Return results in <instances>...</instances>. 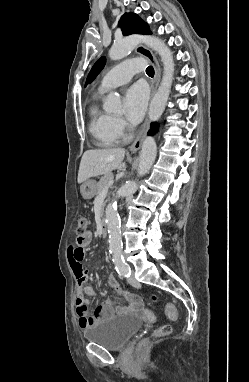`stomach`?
<instances>
[{"label": "stomach", "instance_id": "1", "mask_svg": "<svg viewBox=\"0 0 249 382\" xmlns=\"http://www.w3.org/2000/svg\"><path fill=\"white\" fill-rule=\"evenodd\" d=\"M81 194L84 199H91L97 193V183L95 180L85 181L80 188Z\"/></svg>", "mask_w": 249, "mask_h": 382}]
</instances>
